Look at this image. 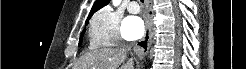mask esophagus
<instances>
[{
  "instance_id": "esophagus-1",
  "label": "esophagus",
  "mask_w": 246,
  "mask_h": 69,
  "mask_svg": "<svg viewBox=\"0 0 246 69\" xmlns=\"http://www.w3.org/2000/svg\"><path fill=\"white\" fill-rule=\"evenodd\" d=\"M147 14H146V30L144 37L134 46V52L139 57H144L148 54L152 43V3L151 0H146Z\"/></svg>"
}]
</instances>
